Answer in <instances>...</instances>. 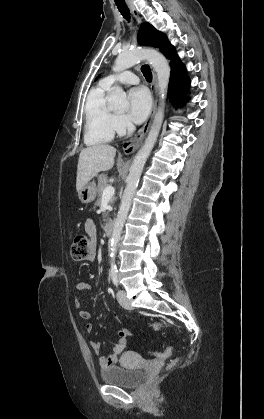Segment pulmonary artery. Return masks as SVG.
Masks as SVG:
<instances>
[{
	"label": "pulmonary artery",
	"mask_w": 264,
	"mask_h": 419,
	"mask_svg": "<svg viewBox=\"0 0 264 419\" xmlns=\"http://www.w3.org/2000/svg\"><path fill=\"white\" fill-rule=\"evenodd\" d=\"M106 86L110 87L115 83L137 84L139 77L132 71H123L119 74H113L105 77L102 81Z\"/></svg>",
	"instance_id": "1"
}]
</instances>
